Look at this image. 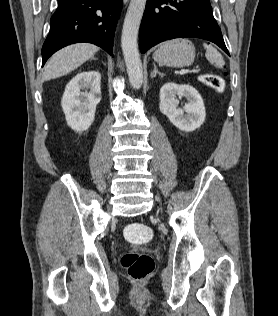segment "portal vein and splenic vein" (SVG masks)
<instances>
[{
  "mask_svg": "<svg viewBox=\"0 0 278 316\" xmlns=\"http://www.w3.org/2000/svg\"><path fill=\"white\" fill-rule=\"evenodd\" d=\"M189 72H190L189 69H181L180 72H179V74H180V75H185V74H187V73H189Z\"/></svg>",
  "mask_w": 278,
  "mask_h": 316,
  "instance_id": "portal-vein-and-splenic-vein-1",
  "label": "portal vein and splenic vein"
}]
</instances>
